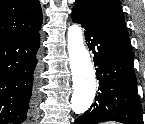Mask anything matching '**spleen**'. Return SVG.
Listing matches in <instances>:
<instances>
[{"label":"spleen","mask_w":145,"mask_h":124,"mask_svg":"<svg viewBox=\"0 0 145 124\" xmlns=\"http://www.w3.org/2000/svg\"><path fill=\"white\" fill-rule=\"evenodd\" d=\"M105 124H116L115 122H109V123H105Z\"/></svg>","instance_id":"3e777b00"}]
</instances>
